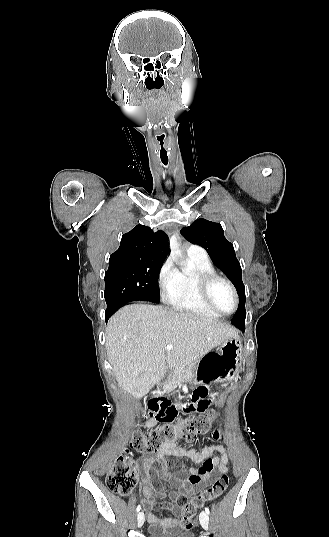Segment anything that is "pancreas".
<instances>
[{"label":"pancreas","instance_id":"1","mask_svg":"<svg viewBox=\"0 0 329 537\" xmlns=\"http://www.w3.org/2000/svg\"><path fill=\"white\" fill-rule=\"evenodd\" d=\"M195 371L196 363H190L178 369H174L170 372L167 381L160 385V387L163 389L162 392L172 390L179 386L182 382L190 380L194 376Z\"/></svg>","mask_w":329,"mask_h":537}]
</instances>
